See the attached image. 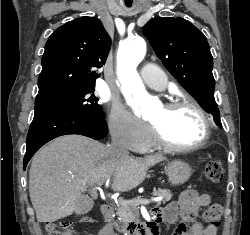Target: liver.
Here are the masks:
<instances>
[{"label": "liver", "mask_w": 250, "mask_h": 235, "mask_svg": "<svg viewBox=\"0 0 250 235\" xmlns=\"http://www.w3.org/2000/svg\"><path fill=\"white\" fill-rule=\"evenodd\" d=\"M163 160L161 155H115L109 146L82 135L58 137L36 153L30 167L29 194L37 221L51 223L71 215L85 191L91 188L97 198L95 185L110 182L114 191H130Z\"/></svg>", "instance_id": "1"}]
</instances>
